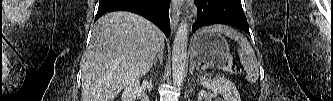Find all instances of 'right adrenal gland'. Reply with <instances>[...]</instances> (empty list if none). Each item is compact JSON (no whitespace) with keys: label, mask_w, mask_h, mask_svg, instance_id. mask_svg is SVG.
<instances>
[{"label":"right adrenal gland","mask_w":333,"mask_h":101,"mask_svg":"<svg viewBox=\"0 0 333 101\" xmlns=\"http://www.w3.org/2000/svg\"><path fill=\"white\" fill-rule=\"evenodd\" d=\"M158 60L160 61V64L163 63V49L158 52L157 56L155 57V59L153 61V64L156 65Z\"/></svg>","instance_id":"right-adrenal-gland-1"}]
</instances>
